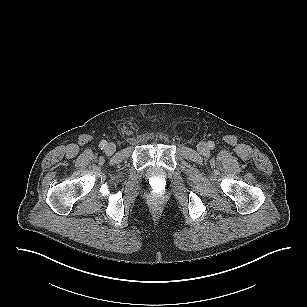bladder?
Masks as SVG:
<instances>
[{
    "label": "bladder",
    "instance_id": "31cf9c89",
    "mask_svg": "<svg viewBox=\"0 0 307 307\" xmlns=\"http://www.w3.org/2000/svg\"><path fill=\"white\" fill-rule=\"evenodd\" d=\"M151 177H160V173L156 169L152 170L150 173Z\"/></svg>",
    "mask_w": 307,
    "mask_h": 307
}]
</instances>
